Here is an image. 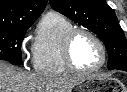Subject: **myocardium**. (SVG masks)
Wrapping results in <instances>:
<instances>
[{
  "label": "myocardium",
  "mask_w": 127,
  "mask_h": 92,
  "mask_svg": "<svg viewBox=\"0 0 127 92\" xmlns=\"http://www.w3.org/2000/svg\"><path fill=\"white\" fill-rule=\"evenodd\" d=\"M82 33L90 36L96 42L101 52L100 63L96 67L91 69L78 68L76 64L74 63V60L72 57V46H73L74 40L79 34H82ZM62 57L66 67L71 72L76 74H91L103 68L107 60V53H106V48L102 40L99 38V36L95 32L85 27H73L64 36L63 44H62Z\"/></svg>",
  "instance_id": "myocardium-1"
}]
</instances>
